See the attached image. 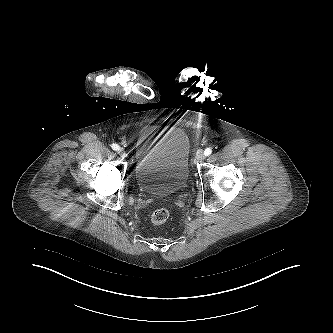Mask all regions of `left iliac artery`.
<instances>
[{
    "instance_id": "obj_1",
    "label": "left iliac artery",
    "mask_w": 333,
    "mask_h": 333,
    "mask_svg": "<svg viewBox=\"0 0 333 333\" xmlns=\"http://www.w3.org/2000/svg\"><path fill=\"white\" fill-rule=\"evenodd\" d=\"M212 153V149L211 148H206L204 151V155L205 156H209Z\"/></svg>"
}]
</instances>
